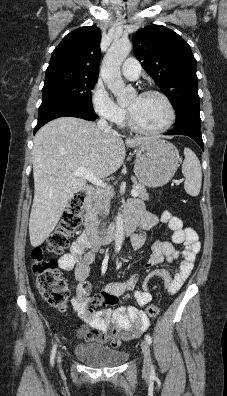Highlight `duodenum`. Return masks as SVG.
I'll return each instance as SVG.
<instances>
[{"label": "duodenum", "mask_w": 227, "mask_h": 396, "mask_svg": "<svg viewBox=\"0 0 227 396\" xmlns=\"http://www.w3.org/2000/svg\"><path fill=\"white\" fill-rule=\"evenodd\" d=\"M96 195V190L93 187H90L85 192V206L89 207L92 203L94 197ZM137 219L127 214L122 224V230L125 234L132 233L137 227ZM117 233V226L115 224H111L104 229L96 228L91 222L87 223L84 238L92 249H98L103 243H107L114 238Z\"/></svg>", "instance_id": "1"}]
</instances>
